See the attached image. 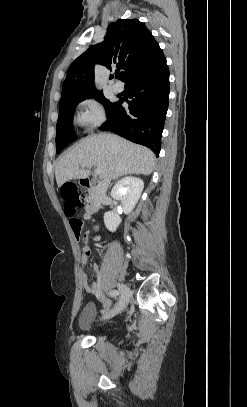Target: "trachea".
I'll return each instance as SVG.
<instances>
[{"label":"trachea","instance_id":"obj_1","mask_svg":"<svg viewBox=\"0 0 247 407\" xmlns=\"http://www.w3.org/2000/svg\"><path fill=\"white\" fill-rule=\"evenodd\" d=\"M115 77H116V78H119V75H118V74H116V75H115Z\"/></svg>","mask_w":247,"mask_h":407}]
</instances>
